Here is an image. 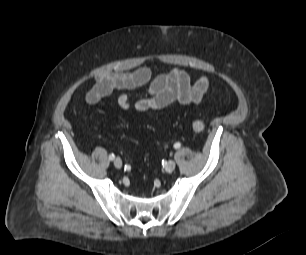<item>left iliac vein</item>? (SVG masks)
<instances>
[{"label":"left iliac vein","instance_id":"obj_1","mask_svg":"<svg viewBox=\"0 0 306 255\" xmlns=\"http://www.w3.org/2000/svg\"><path fill=\"white\" fill-rule=\"evenodd\" d=\"M175 167H176L175 161L170 160V161H168V162L166 163V165H165V171H166L167 173H171V172H173V170L175 169Z\"/></svg>","mask_w":306,"mask_h":255}]
</instances>
